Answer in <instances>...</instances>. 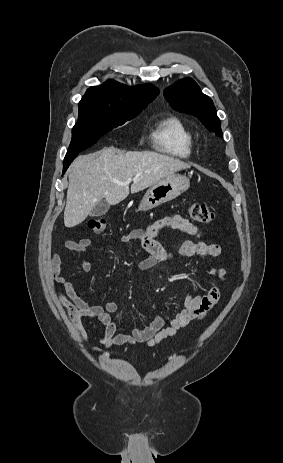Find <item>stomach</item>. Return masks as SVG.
I'll return each mask as SVG.
<instances>
[{
    "instance_id": "0dacf381",
    "label": "stomach",
    "mask_w": 283,
    "mask_h": 463,
    "mask_svg": "<svg viewBox=\"0 0 283 463\" xmlns=\"http://www.w3.org/2000/svg\"><path fill=\"white\" fill-rule=\"evenodd\" d=\"M186 176L170 175L150 186L141 200L138 211H148L171 201L189 188Z\"/></svg>"
}]
</instances>
